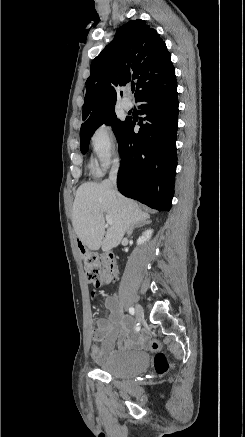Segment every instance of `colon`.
Here are the masks:
<instances>
[{"label": "colon", "instance_id": "5ec220e1", "mask_svg": "<svg viewBox=\"0 0 245 437\" xmlns=\"http://www.w3.org/2000/svg\"><path fill=\"white\" fill-rule=\"evenodd\" d=\"M85 276L88 283L99 288L109 285L117 280V264L112 255H103L97 253H85L83 257ZM161 344L153 341L150 349L157 351L155 356V368L158 373L165 374L170 369V363L166 356L160 352Z\"/></svg>", "mask_w": 245, "mask_h": 437}]
</instances>
